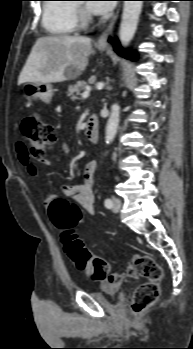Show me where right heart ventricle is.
Listing matches in <instances>:
<instances>
[{"instance_id":"obj_1","label":"right heart ventricle","mask_w":193,"mask_h":349,"mask_svg":"<svg viewBox=\"0 0 193 349\" xmlns=\"http://www.w3.org/2000/svg\"><path fill=\"white\" fill-rule=\"evenodd\" d=\"M72 1V0H48ZM77 4L47 2L43 7L42 25L49 35L69 36L77 30Z\"/></svg>"}]
</instances>
